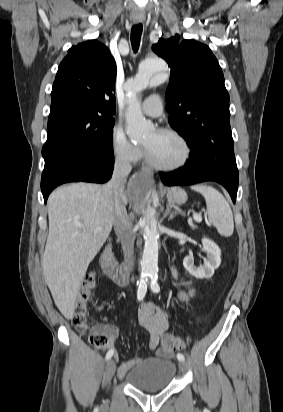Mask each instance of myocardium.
Segmentation results:
<instances>
[{
	"instance_id": "obj_1",
	"label": "myocardium",
	"mask_w": 283,
	"mask_h": 412,
	"mask_svg": "<svg viewBox=\"0 0 283 412\" xmlns=\"http://www.w3.org/2000/svg\"><path fill=\"white\" fill-rule=\"evenodd\" d=\"M156 131L160 133L170 134L174 136L175 138H177L184 148V156L182 160L178 162L177 164L170 165V166L160 165L151 158L148 149L143 145L144 157H145L147 164L153 169L160 170V171H176L186 166L192 154L191 146L188 140L179 131L173 128H170V127H161V128H158Z\"/></svg>"
}]
</instances>
